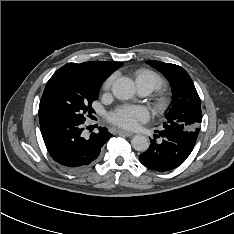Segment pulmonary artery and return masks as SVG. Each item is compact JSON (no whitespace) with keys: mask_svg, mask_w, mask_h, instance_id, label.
Returning <instances> with one entry per match:
<instances>
[{"mask_svg":"<svg viewBox=\"0 0 234 234\" xmlns=\"http://www.w3.org/2000/svg\"><path fill=\"white\" fill-rule=\"evenodd\" d=\"M138 92L141 96H147L152 92V89L146 84H138Z\"/></svg>","mask_w":234,"mask_h":234,"instance_id":"1","label":"pulmonary artery"}]
</instances>
